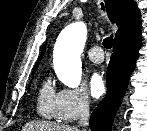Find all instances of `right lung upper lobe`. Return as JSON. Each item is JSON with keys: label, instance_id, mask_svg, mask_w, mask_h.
Instances as JSON below:
<instances>
[{"label": "right lung upper lobe", "instance_id": "right-lung-upper-lobe-1", "mask_svg": "<svg viewBox=\"0 0 147 131\" xmlns=\"http://www.w3.org/2000/svg\"><path fill=\"white\" fill-rule=\"evenodd\" d=\"M109 19L116 23L118 30L114 41L126 38L141 29L140 12L134 0H105ZM45 52L39 57L35 69Z\"/></svg>", "mask_w": 147, "mask_h": 131}]
</instances>
